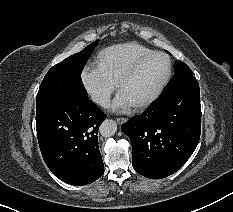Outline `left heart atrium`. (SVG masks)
<instances>
[{"mask_svg":"<svg viewBox=\"0 0 233 212\" xmlns=\"http://www.w3.org/2000/svg\"><path fill=\"white\" fill-rule=\"evenodd\" d=\"M133 106V103L123 91H120L114 99L111 107L115 111H126Z\"/></svg>","mask_w":233,"mask_h":212,"instance_id":"1","label":"left heart atrium"}]
</instances>
